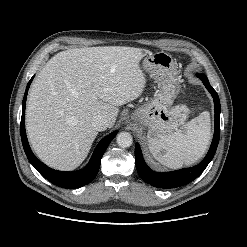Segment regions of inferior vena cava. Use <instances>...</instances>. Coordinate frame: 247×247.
Segmentation results:
<instances>
[{
  "mask_svg": "<svg viewBox=\"0 0 247 247\" xmlns=\"http://www.w3.org/2000/svg\"><path fill=\"white\" fill-rule=\"evenodd\" d=\"M92 127L97 131H104L109 127V123L106 117L97 115L91 122Z\"/></svg>",
  "mask_w": 247,
  "mask_h": 247,
  "instance_id": "obj_1",
  "label": "inferior vena cava"
}]
</instances>
